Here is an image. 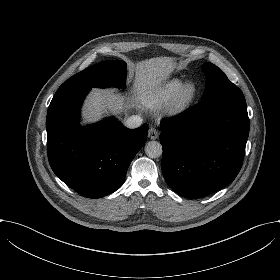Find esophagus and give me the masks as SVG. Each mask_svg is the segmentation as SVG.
Listing matches in <instances>:
<instances>
[{
	"label": "esophagus",
	"mask_w": 280,
	"mask_h": 280,
	"mask_svg": "<svg viewBox=\"0 0 280 280\" xmlns=\"http://www.w3.org/2000/svg\"><path fill=\"white\" fill-rule=\"evenodd\" d=\"M159 136L158 131L155 128H150L148 132V138L151 140H156Z\"/></svg>",
	"instance_id": "obj_1"
}]
</instances>
